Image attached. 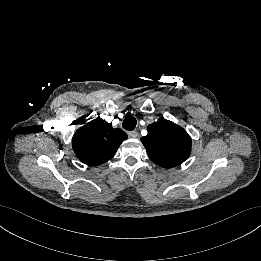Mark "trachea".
<instances>
[{
	"label": "trachea",
	"instance_id": "obj_1",
	"mask_svg": "<svg viewBox=\"0 0 261 261\" xmlns=\"http://www.w3.org/2000/svg\"><path fill=\"white\" fill-rule=\"evenodd\" d=\"M137 124L136 118L132 115L127 116L123 121V128L129 131H132L135 129Z\"/></svg>",
	"mask_w": 261,
	"mask_h": 261
}]
</instances>
